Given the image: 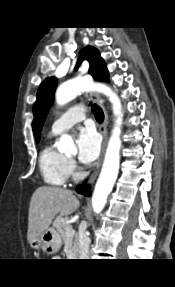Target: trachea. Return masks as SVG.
<instances>
[{"label": "trachea", "mask_w": 175, "mask_h": 287, "mask_svg": "<svg viewBox=\"0 0 175 287\" xmlns=\"http://www.w3.org/2000/svg\"><path fill=\"white\" fill-rule=\"evenodd\" d=\"M91 109H92V112H93L96 120L99 123L103 122V120H104V113H103L102 109L99 106H97L96 104H93L91 106Z\"/></svg>", "instance_id": "1"}]
</instances>
